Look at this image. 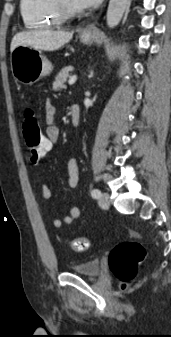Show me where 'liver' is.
Returning a JSON list of instances; mask_svg holds the SVG:
<instances>
[{"mask_svg": "<svg viewBox=\"0 0 171 337\" xmlns=\"http://www.w3.org/2000/svg\"><path fill=\"white\" fill-rule=\"evenodd\" d=\"M73 37V32L65 31H28L17 33L10 45L11 52L20 45L31 46L37 50L55 51L68 43Z\"/></svg>", "mask_w": 171, "mask_h": 337, "instance_id": "liver-1", "label": "liver"}]
</instances>
